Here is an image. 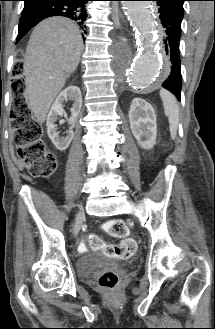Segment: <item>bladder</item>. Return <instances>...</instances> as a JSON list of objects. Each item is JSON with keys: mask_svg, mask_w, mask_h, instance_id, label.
Instances as JSON below:
<instances>
[{"mask_svg": "<svg viewBox=\"0 0 215 329\" xmlns=\"http://www.w3.org/2000/svg\"><path fill=\"white\" fill-rule=\"evenodd\" d=\"M111 260L106 256L97 253H87L78 258L76 269L80 277H88L97 270L109 267Z\"/></svg>", "mask_w": 215, "mask_h": 329, "instance_id": "1", "label": "bladder"}]
</instances>
